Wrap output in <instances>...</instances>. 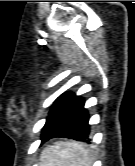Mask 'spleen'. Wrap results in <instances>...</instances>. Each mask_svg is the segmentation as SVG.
I'll use <instances>...</instances> for the list:
<instances>
[{
  "label": "spleen",
  "instance_id": "3e777b00",
  "mask_svg": "<svg viewBox=\"0 0 135 166\" xmlns=\"http://www.w3.org/2000/svg\"><path fill=\"white\" fill-rule=\"evenodd\" d=\"M89 150L74 141L56 142L41 153L40 166H91Z\"/></svg>",
  "mask_w": 135,
  "mask_h": 166
}]
</instances>
